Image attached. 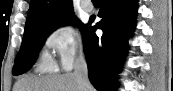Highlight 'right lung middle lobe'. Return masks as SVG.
I'll return each instance as SVG.
<instances>
[{"mask_svg": "<svg viewBox=\"0 0 173 91\" xmlns=\"http://www.w3.org/2000/svg\"><path fill=\"white\" fill-rule=\"evenodd\" d=\"M75 21V16L72 15L52 25L39 26L24 32L21 49L16 57V61L13 67V75L16 76L23 74L31 68L39 50L51 32L61 26L74 24ZM79 25L82 30L86 26L80 21Z\"/></svg>", "mask_w": 173, "mask_h": 91, "instance_id": "right-lung-middle-lobe-1", "label": "right lung middle lobe"}]
</instances>
